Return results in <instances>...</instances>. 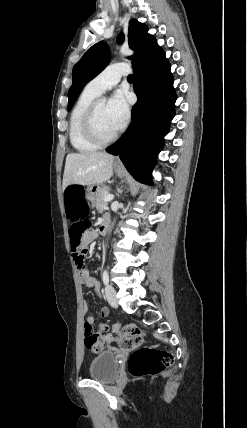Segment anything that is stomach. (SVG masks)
<instances>
[{"label":"stomach","instance_id":"1","mask_svg":"<svg viewBox=\"0 0 247 428\" xmlns=\"http://www.w3.org/2000/svg\"><path fill=\"white\" fill-rule=\"evenodd\" d=\"M115 172L119 177H122L125 173L124 169L122 167L115 166ZM99 190V185H90L87 187V193H86V199L91 201L92 203L95 202L97 192Z\"/></svg>","mask_w":247,"mask_h":428}]
</instances>
